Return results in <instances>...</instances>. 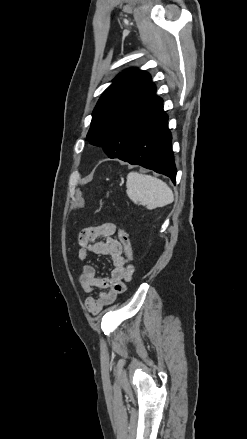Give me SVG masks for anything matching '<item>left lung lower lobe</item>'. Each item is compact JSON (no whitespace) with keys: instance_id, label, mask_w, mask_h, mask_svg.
I'll list each match as a JSON object with an SVG mask.
<instances>
[{"instance_id":"1","label":"left lung lower lobe","mask_w":247,"mask_h":439,"mask_svg":"<svg viewBox=\"0 0 247 439\" xmlns=\"http://www.w3.org/2000/svg\"><path fill=\"white\" fill-rule=\"evenodd\" d=\"M122 160L164 174L175 182L176 168L171 150V133L163 106L139 130Z\"/></svg>"}]
</instances>
